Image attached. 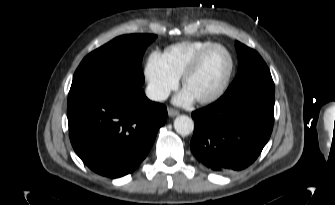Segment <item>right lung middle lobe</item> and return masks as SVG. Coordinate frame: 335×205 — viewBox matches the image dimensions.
Segmentation results:
<instances>
[{
	"label": "right lung middle lobe",
	"mask_w": 335,
	"mask_h": 205,
	"mask_svg": "<svg viewBox=\"0 0 335 205\" xmlns=\"http://www.w3.org/2000/svg\"><path fill=\"white\" fill-rule=\"evenodd\" d=\"M155 39L151 34L122 35L88 54L73 76L69 97L93 90L141 89L142 57Z\"/></svg>",
	"instance_id": "obj_1"
}]
</instances>
